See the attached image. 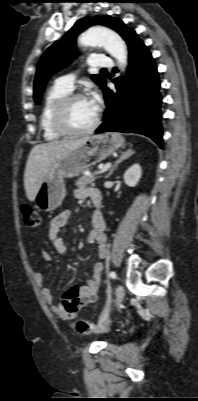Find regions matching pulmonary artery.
I'll use <instances>...</instances> for the list:
<instances>
[{"label":"pulmonary artery","instance_id":"obj_1","mask_svg":"<svg viewBox=\"0 0 198 401\" xmlns=\"http://www.w3.org/2000/svg\"><path fill=\"white\" fill-rule=\"evenodd\" d=\"M88 65L92 68L99 67H111L113 65L111 59L102 55H95L89 58ZM74 84V76L73 75H65L56 80V85L71 91L73 89Z\"/></svg>","mask_w":198,"mask_h":401}]
</instances>
